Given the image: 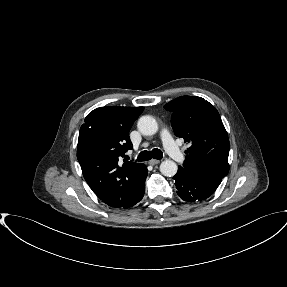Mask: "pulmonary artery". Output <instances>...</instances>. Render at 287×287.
I'll list each match as a JSON object with an SVG mask.
<instances>
[{
	"label": "pulmonary artery",
	"instance_id": "obj_1",
	"mask_svg": "<svg viewBox=\"0 0 287 287\" xmlns=\"http://www.w3.org/2000/svg\"><path fill=\"white\" fill-rule=\"evenodd\" d=\"M161 137L166 152L176 161L181 162L184 160V154L176 145L168 128L163 127L161 130Z\"/></svg>",
	"mask_w": 287,
	"mask_h": 287
}]
</instances>
